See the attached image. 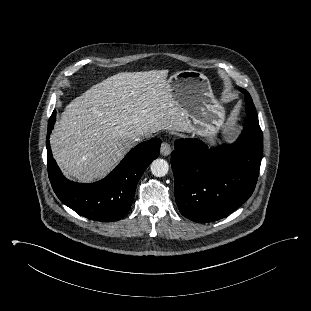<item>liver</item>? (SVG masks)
Returning <instances> with one entry per match:
<instances>
[{
  "mask_svg": "<svg viewBox=\"0 0 311 311\" xmlns=\"http://www.w3.org/2000/svg\"><path fill=\"white\" fill-rule=\"evenodd\" d=\"M168 73L121 72L72 100L50 138L65 176L80 182L104 177L130 149L134 134L193 130L169 91Z\"/></svg>",
  "mask_w": 311,
  "mask_h": 311,
  "instance_id": "6515ba94",
  "label": "liver"
}]
</instances>
